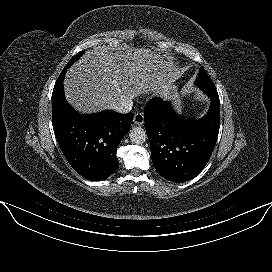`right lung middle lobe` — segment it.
Wrapping results in <instances>:
<instances>
[{"mask_svg": "<svg viewBox=\"0 0 272 272\" xmlns=\"http://www.w3.org/2000/svg\"><path fill=\"white\" fill-rule=\"evenodd\" d=\"M84 51H80L78 54H76L69 62L68 64L65 66L64 70L61 72L55 86H58L59 85V82H63V79H64V75L66 73V69L69 68L76 60H78V58L80 56H82Z\"/></svg>", "mask_w": 272, "mask_h": 272, "instance_id": "dd1d6c3e", "label": "right lung middle lobe"}]
</instances>
